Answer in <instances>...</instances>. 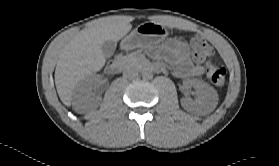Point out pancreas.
<instances>
[{
  "instance_id": "obj_1",
  "label": "pancreas",
  "mask_w": 279,
  "mask_h": 166,
  "mask_svg": "<svg viewBox=\"0 0 279 166\" xmlns=\"http://www.w3.org/2000/svg\"><path fill=\"white\" fill-rule=\"evenodd\" d=\"M122 63L124 66H139L142 61L134 54H128L126 56L121 57Z\"/></svg>"
}]
</instances>
